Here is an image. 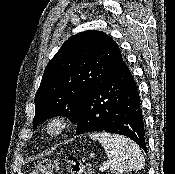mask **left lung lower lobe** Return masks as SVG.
Returning <instances> with one entry per match:
<instances>
[{"label":"left lung lower lobe","instance_id":"left-lung-lower-lobe-1","mask_svg":"<svg viewBox=\"0 0 175 174\" xmlns=\"http://www.w3.org/2000/svg\"><path fill=\"white\" fill-rule=\"evenodd\" d=\"M76 133L106 131L127 136L147 153L141 102L136 82L125 61L83 97Z\"/></svg>","mask_w":175,"mask_h":174}]
</instances>
